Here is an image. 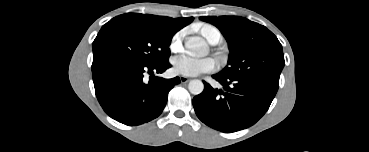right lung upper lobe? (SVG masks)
Here are the masks:
<instances>
[{
	"instance_id": "1",
	"label": "right lung upper lobe",
	"mask_w": 369,
	"mask_h": 152,
	"mask_svg": "<svg viewBox=\"0 0 369 152\" xmlns=\"http://www.w3.org/2000/svg\"><path fill=\"white\" fill-rule=\"evenodd\" d=\"M126 15L141 24L174 33L190 24L194 19L193 17L170 18L140 13H126Z\"/></svg>"
}]
</instances>
